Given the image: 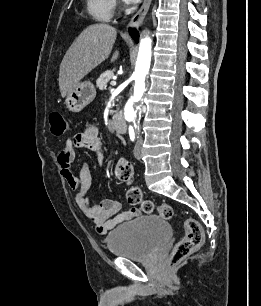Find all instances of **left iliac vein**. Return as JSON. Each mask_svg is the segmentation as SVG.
I'll return each mask as SVG.
<instances>
[{"label": "left iliac vein", "mask_w": 261, "mask_h": 306, "mask_svg": "<svg viewBox=\"0 0 261 306\" xmlns=\"http://www.w3.org/2000/svg\"><path fill=\"white\" fill-rule=\"evenodd\" d=\"M134 156L136 159H140L142 156V139L138 138L134 148Z\"/></svg>", "instance_id": "left-iliac-vein-1"}]
</instances>
